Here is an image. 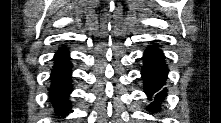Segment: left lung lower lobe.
<instances>
[{"mask_svg":"<svg viewBox=\"0 0 221 123\" xmlns=\"http://www.w3.org/2000/svg\"><path fill=\"white\" fill-rule=\"evenodd\" d=\"M143 67L141 71L144 92L148 99L152 100L148 110L157 113L161 103L166 97V84L168 67L165 63V57L157 45L149 46L142 57Z\"/></svg>","mask_w":221,"mask_h":123,"instance_id":"0a47b994","label":"left lung lower lobe"}]
</instances>
